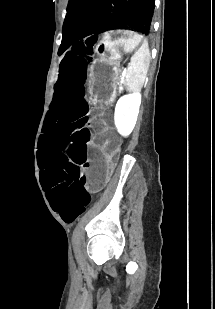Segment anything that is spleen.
Instances as JSON below:
<instances>
[{"instance_id":"1","label":"spleen","mask_w":215,"mask_h":309,"mask_svg":"<svg viewBox=\"0 0 215 309\" xmlns=\"http://www.w3.org/2000/svg\"><path fill=\"white\" fill-rule=\"evenodd\" d=\"M150 62V52L147 40L142 42L137 52L131 56V64L126 70V82L128 90L137 92L144 84L147 74V68Z\"/></svg>"}]
</instances>
